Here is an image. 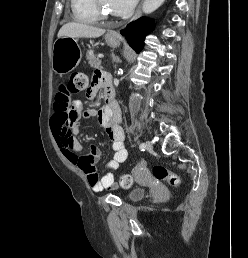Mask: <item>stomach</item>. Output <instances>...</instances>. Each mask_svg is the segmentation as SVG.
<instances>
[{"mask_svg": "<svg viewBox=\"0 0 248 258\" xmlns=\"http://www.w3.org/2000/svg\"><path fill=\"white\" fill-rule=\"evenodd\" d=\"M105 40L111 47H117L120 44V39L117 35L107 34ZM81 58L82 52L75 38L63 36L54 42L52 68L57 74L70 73L78 66Z\"/></svg>", "mask_w": 248, "mask_h": 258, "instance_id": "0dacf381", "label": "stomach"}]
</instances>
